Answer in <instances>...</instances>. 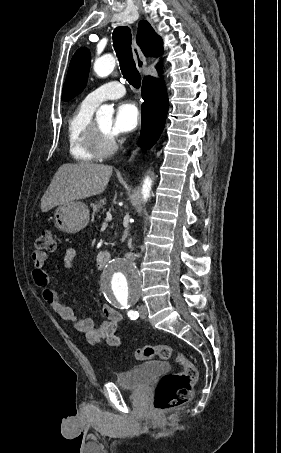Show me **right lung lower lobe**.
Listing matches in <instances>:
<instances>
[{"mask_svg": "<svg viewBox=\"0 0 281 453\" xmlns=\"http://www.w3.org/2000/svg\"><path fill=\"white\" fill-rule=\"evenodd\" d=\"M142 119L139 145L151 147L161 135L168 111V97L162 81L147 76L142 83Z\"/></svg>", "mask_w": 281, "mask_h": 453, "instance_id": "obj_1", "label": "right lung lower lobe"}]
</instances>
